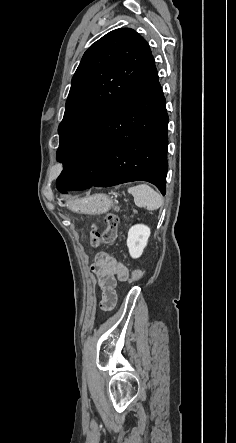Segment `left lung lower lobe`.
<instances>
[{
  "label": "left lung lower lobe",
  "mask_w": 236,
  "mask_h": 443,
  "mask_svg": "<svg viewBox=\"0 0 236 443\" xmlns=\"http://www.w3.org/2000/svg\"><path fill=\"white\" fill-rule=\"evenodd\" d=\"M168 115L151 56L93 125L56 180L66 191L148 181L166 193Z\"/></svg>",
  "instance_id": "0a47b994"
}]
</instances>
